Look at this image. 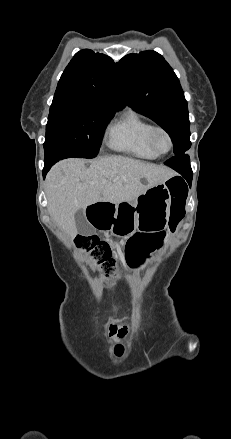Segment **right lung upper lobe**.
I'll use <instances>...</instances> for the list:
<instances>
[{
  "mask_svg": "<svg viewBox=\"0 0 231 439\" xmlns=\"http://www.w3.org/2000/svg\"><path fill=\"white\" fill-rule=\"evenodd\" d=\"M94 105L126 106L113 60L84 49L74 55L58 82L51 107Z\"/></svg>",
  "mask_w": 231,
  "mask_h": 439,
  "instance_id": "right-lung-upper-lobe-1",
  "label": "right lung upper lobe"
}]
</instances>
